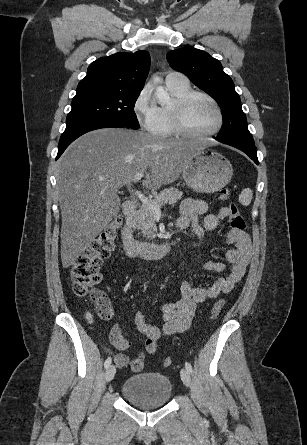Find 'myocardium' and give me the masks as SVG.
I'll return each mask as SVG.
<instances>
[{
	"label": "myocardium",
	"instance_id": "1",
	"mask_svg": "<svg viewBox=\"0 0 307 445\" xmlns=\"http://www.w3.org/2000/svg\"><path fill=\"white\" fill-rule=\"evenodd\" d=\"M203 99L215 106L219 114V123L216 128L207 132H196L187 123L186 109L195 99ZM169 117L177 134L184 137L178 139H204L217 134L225 125L226 116L221 104L210 95L200 91H190L182 97L170 100L167 105Z\"/></svg>",
	"mask_w": 307,
	"mask_h": 445
}]
</instances>
